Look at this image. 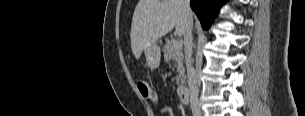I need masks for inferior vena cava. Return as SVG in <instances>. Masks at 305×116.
<instances>
[{"label":"inferior vena cava","mask_w":305,"mask_h":116,"mask_svg":"<svg viewBox=\"0 0 305 116\" xmlns=\"http://www.w3.org/2000/svg\"><path fill=\"white\" fill-rule=\"evenodd\" d=\"M183 7L186 13L190 12L189 0H183ZM192 27L193 23L190 18H186L185 33H184V46H185V58L186 68L188 76V86L190 92V102L193 116H201V108L199 105V89L197 85V79L195 70L193 68L192 59Z\"/></svg>","instance_id":"obj_1"}]
</instances>
